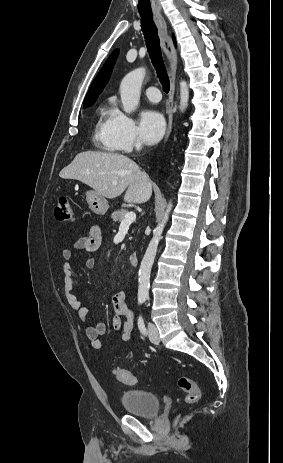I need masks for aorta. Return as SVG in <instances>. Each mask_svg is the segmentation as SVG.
<instances>
[{
  "label": "aorta",
  "mask_w": 283,
  "mask_h": 463,
  "mask_svg": "<svg viewBox=\"0 0 283 463\" xmlns=\"http://www.w3.org/2000/svg\"><path fill=\"white\" fill-rule=\"evenodd\" d=\"M146 75V70L141 67L129 72L120 84V95L124 112L130 114L136 110L140 101L141 86ZM189 88L186 81L180 82V111H184L188 106ZM172 204L169 203L164 214L163 220L156 226L143 260L139 269V289L138 298L146 300L149 295L150 274L156 256L162 232L168 221Z\"/></svg>",
  "instance_id": "1"
}]
</instances>
